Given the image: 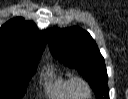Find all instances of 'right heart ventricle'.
I'll return each mask as SVG.
<instances>
[{
    "label": "right heart ventricle",
    "instance_id": "right-heart-ventricle-1",
    "mask_svg": "<svg viewBox=\"0 0 128 99\" xmlns=\"http://www.w3.org/2000/svg\"><path fill=\"white\" fill-rule=\"evenodd\" d=\"M46 91L49 97L54 99H76L71 88V77L65 73L50 72L49 81L46 84Z\"/></svg>",
    "mask_w": 128,
    "mask_h": 99
}]
</instances>
